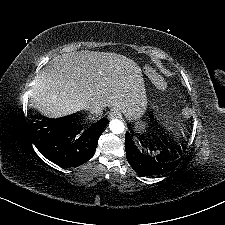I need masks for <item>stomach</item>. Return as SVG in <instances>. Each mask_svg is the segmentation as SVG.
Returning <instances> with one entry per match:
<instances>
[{
    "label": "stomach",
    "instance_id": "1",
    "mask_svg": "<svg viewBox=\"0 0 225 225\" xmlns=\"http://www.w3.org/2000/svg\"><path fill=\"white\" fill-rule=\"evenodd\" d=\"M140 126H139V128L141 129H143L144 127H145V125L144 124H139Z\"/></svg>",
    "mask_w": 225,
    "mask_h": 225
}]
</instances>
